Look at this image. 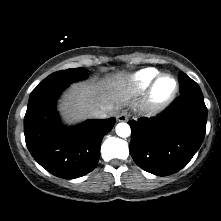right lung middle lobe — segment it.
<instances>
[{
    "mask_svg": "<svg viewBox=\"0 0 221 221\" xmlns=\"http://www.w3.org/2000/svg\"><path fill=\"white\" fill-rule=\"evenodd\" d=\"M87 78L86 70L83 68H74L61 70L55 73H52L46 77L30 94L33 96L41 91L56 88V87H65L70 83L82 80Z\"/></svg>",
    "mask_w": 221,
    "mask_h": 221,
    "instance_id": "right-lung-middle-lobe-1",
    "label": "right lung middle lobe"
}]
</instances>
